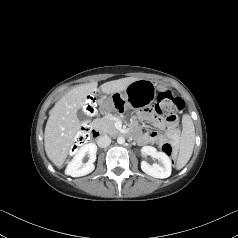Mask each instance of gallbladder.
Here are the masks:
<instances>
[{
  "mask_svg": "<svg viewBox=\"0 0 238 238\" xmlns=\"http://www.w3.org/2000/svg\"><path fill=\"white\" fill-rule=\"evenodd\" d=\"M77 116L81 121H85L87 119V115L82 110H78Z\"/></svg>",
  "mask_w": 238,
  "mask_h": 238,
  "instance_id": "1",
  "label": "gallbladder"
}]
</instances>
